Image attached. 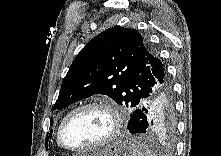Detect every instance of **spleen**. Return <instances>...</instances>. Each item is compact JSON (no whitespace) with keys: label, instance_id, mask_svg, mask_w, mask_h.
<instances>
[{"label":"spleen","instance_id":"obj_1","mask_svg":"<svg viewBox=\"0 0 221 156\" xmlns=\"http://www.w3.org/2000/svg\"><path fill=\"white\" fill-rule=\"evenodd\" d=\"M128 144L132 151V156H154L155 154L142 143L141 139L138 140H129Z\"/></svg>","mask_w":221,"mask_h":156}]
</instances>
